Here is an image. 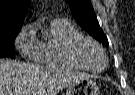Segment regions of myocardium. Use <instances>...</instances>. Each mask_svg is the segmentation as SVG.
Instances as JSON below:
<instances>
[{"instance_id":"1","label":"myocardium","mask_w":135,"mask_h":95,"mask_svg":"<svg viewBox=\"0 0 135 95\" xmlns=\"http://www.w3.org/2000/svg\"><path fill=\"white\" fill-rule=\"evenodd\" d=\"M84 42H88V43L92 44L93 46H95L100 51V53L102 54V57L104 59V64H103L102 68L92 69V68L88 67L87 65H85L83 63V61L79 57L78 48ZM66 52H67L68 58L72 62H74L77 66H79L81 69H84V70H87V71H90V72H93V73L102 72L106 68L107 63H108L106 53H105L104 49L102 48V46L97 41L92 39L91 37L83 35V34L78 35V36L72 38L69 41V43L67 45Z\"/></svg>"}]
</instances>
